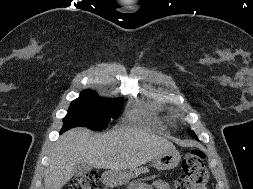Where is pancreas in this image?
<instances>
[{
    "instance_id": "obj_1",
    "label": "pancreas",
    "mask_w": 253,
    "mask_h": 189,
    "mask_svg": "<svg viewBox=\"0 0 253 189\" xmlns=\"http://www.w3.org/2000/svg\"><path fill=\"white\" fill-rule=\"evenodd\" d=\"M134 171H135V175H139L140 173L143 172L142 169H135ZM131 173H132V172H131ZM132 176H134V175H132Z\"/></svg>"
}]
</instances>
